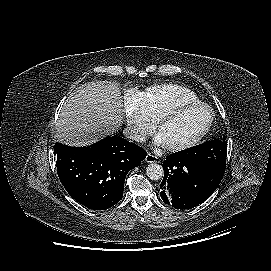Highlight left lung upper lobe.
<instances>
[{"label":"left lung upper lobe","instance_id":"1","mask_svg":"<svg viewBox=\"0 0 271 271\" xmlns=\"http://www.w3.org/2000/svg\"><path fill=\"white\" fill-rule=\"evenodd\" d=\"M177 153L183 157L194 158L222 173L225 172L227 156V141L225 136L221 139L207 141Z\"/></svg>","mask_w":271,"mask_h":271}]
</instances>
